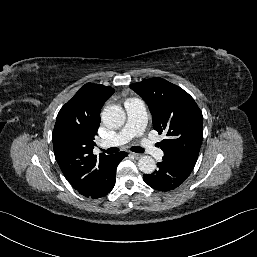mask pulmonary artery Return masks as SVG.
Wrapping results in <instances>:
<instances>
[{
    "label": "pulmonary artery",
    "mask_w": 257,
    "mask_h": 257,
    "mask_svg": "<svg viewBox=\"0 0 257 257\" xmlns=\"http://www.w3.org/2000/svg\"><path fill=\"white\" fill-rule=\"evenodd\" d=\"M127 112V122L123 129L109 141L101 143L103 147L118 146L127 143L135 136H142L146 127V108L145 104L140 99H129L125 102ZM141 144L152 157L160 159L163 156V151L155 146L154 142L147 137L141 139Z\"/></svg>",
    "instance_id": "e3ab8cb5"
}]
</instances>
